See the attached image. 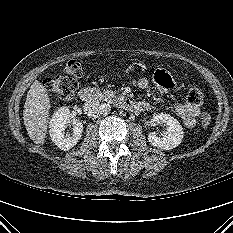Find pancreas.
I'll return each mask as SVG.
<instances>
[{
	"mask_svg": "<svg viewBox=\"0 0 233 233\" xmlns=\"http://www.w3.org/2000/svg\"><path fill=\"white\" fill-rule=\"evenodd\" d=\"M105 96H110V97H114L116 92H113V91H105Z\"/></svg>",
	"mask_w": 233,
	"mask_h": 233,
	"instance_id": "cf45deb5",
	"label": "pancreas"
}]
</instances>
